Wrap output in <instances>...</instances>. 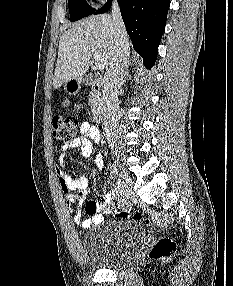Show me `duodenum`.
<instances>
[{
    "label": "duodenum",
    "mask_w": 233,
    "mask_h": 286,
    "mask_svg": "<svg viewBox=\"0 0 233 286\" xmlns=\"http://www.w3.org/2000/svg\"><path fill=\"white\" fill-rule=\"evenodd\" d=\"M86 81L89 86L96 92H100L103 88V81L100 79H94L90 77H86ZM97 127L102 132L109 131V120L107 115L104 112H100L97 117Z\"/></svg>",
    "instance_id": "duodenum-1"
}]
</instances>
